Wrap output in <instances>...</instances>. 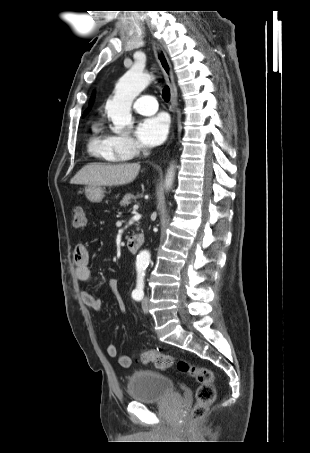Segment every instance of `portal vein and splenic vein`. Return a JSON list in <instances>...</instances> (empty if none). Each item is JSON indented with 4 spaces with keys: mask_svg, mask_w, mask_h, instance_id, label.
Wrapping results in <instances>:
<instances>
[{
    "mask_svg": "<svg viewBox=\"0 0 310 453\" xmlns=\"http://www.w3.org/2000/svg\"><path fill=\"white\" fill-rule=\"evenodd\" d=\"M133 209H134V210H137V209H138V205H134V206H133Z\"/></svg>",
    "mask_w": 310,
    "mask_h": 453,
    "instance_id": "portal-vein-and-splenic-vein-1",
    "label": "portal vein and splenic vein"
}]
</instances>
